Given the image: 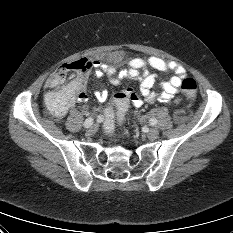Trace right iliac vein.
I'll return each instance as SVG.
<instances>
[{
  "instance_id": "right-iliac-vein-1",
  "label": "right iliac vein",
  "mask_w": 233,
  "mask_h": 233,
  "mask_svg": "<svg viewBox=\"0 0 233 233\" xmlns=\"http://www.w3.org/2000/svg\"><path fill=\"white\" fill-rule=\"evenodd\" d=\"M97 128L94 126V127H91L89 130H88V134H94L96 132Z\"/></svg>"
}]
</instances>
